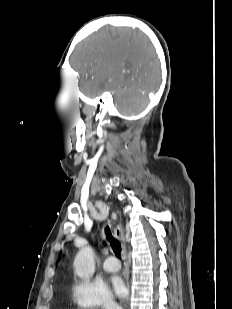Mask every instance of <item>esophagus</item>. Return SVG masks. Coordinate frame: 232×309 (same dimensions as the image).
I'll list each match as a JSON object with an SVG mask.
<instances>
[{"instance_id":"esophagus-1","label":"esophagus","mask_w":232,"mask_h":309,"mask_svg":"<svg viewBox=\"0 0 232 309\" xmlns=\"http://www.w3.org/2000/svg\"><path fill=\"white\" fill-rule=\"evenodd\" d=\"M114 232H115V236L122 240V254H123V258L125 259V266H126V270H127V273H128L127 250H126V245L123 242L122 230L119 226H117L115 228Z\"/></svg>"}]
</instances>
